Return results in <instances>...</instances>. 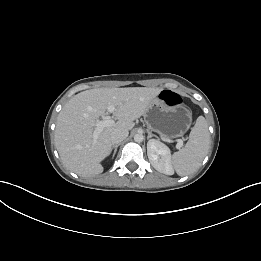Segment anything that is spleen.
Here are the masks:
<instances>
[{
	"instance_id": "3e777b00",
	"label": "spleen",
	"mask_w": 261,
	"mask_h": 261,
	"mask_svg": "<svg viewBox=\"0 0 261 261\" xmlns=\"http://www.w3.org/2000/svg\"><path fill=\"white\" fill-rule=\"evenodd\" d=\"M210 145L208 124L203 116H199L190 132L185 147L172 156V165L179 176L195 172L206 156Z\"/></svg>"
}]
</instances>
